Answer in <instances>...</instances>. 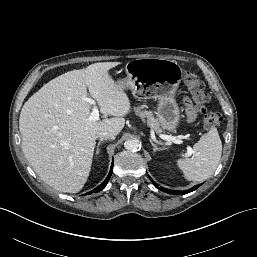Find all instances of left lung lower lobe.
<instances>
[{
  "label": "left lung lower lobe",
  "instance_id": "obj_1",
  "mask_svg": "<svg viewBox=\"0 0 257 257\" xmlns=\"http://www.w3.org/2000/svg\"><path fill=\"white\" fill-rule=\"evenodd\" d=\"M150 180L152 181V183L154 184L155 187H158V184L154 182V180L149 177ZM200 185H196L194 186L193 188L187 190V191H173V190H168V189H164V188H161L160 190L164 191V192H167V193H170V194H177V195H183V194H186V193H190L194 190H196Z\"/></svg>",
  "mask_w": 257,
  "mask_h": 257
}]
</instances>
